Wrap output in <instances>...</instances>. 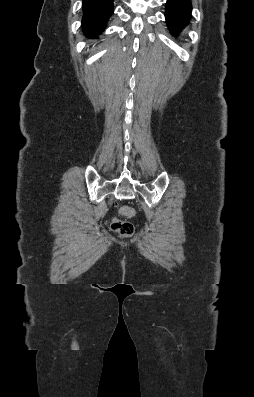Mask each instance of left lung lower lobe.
Listing matches in <instances>:
<instances>
[{"label":"left lung lower lobe","mask_w":254,"mask_h":397,"mask_svg":"<svg viewBox=\"0 0 254 397\" xmlns=\"http://www.w3.org/2000/svg\"><path fill=\"white\" fill-rule=\"evenodd\" d=\"M191 0H167L166 23L173 35H178L191 17Z\"/></svg>","instance_id":"1"}]
</instances>
